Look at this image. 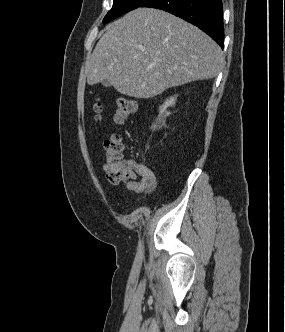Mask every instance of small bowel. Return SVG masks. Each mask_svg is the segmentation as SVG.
<instances>
[{"instance_id": "1", "label": "small bowel", "mask_w": 285, "mask_h": 332, "mask_svg": "<svg viewBox=\"0 0 285 332\" xmlns=\"http://www.w3.org/2000/svg\"><path fill=\"white\" fill-rule=\"evenodd\" d=\"M135 173L140 177L139 180H131L127 183L126 188L134 193H147L157 186V178L154 172L146 165L131 162Z\"/></svg>"}]
</instances>
